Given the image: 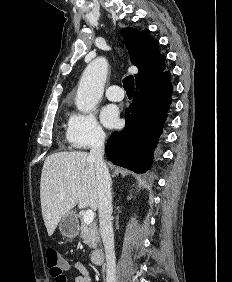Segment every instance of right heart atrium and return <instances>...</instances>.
<instances>
[{
  "mask_svg": "<svg viewBox=\"0 0 232 282\" xmlns=\"http://www.w3.org/2000/svg\"><path fill=\"white\" fill-rule=\"evenodd\" d=\"M67 138L77 149H86L102 143L105 132L91 112H75L68 122Z\"/></svg>",
  "mask_w": 232,
  "mask_h": 282,
  "instance_id": "d8ad5b80",
  "label": "right heart atrium"
}]
</instances>
